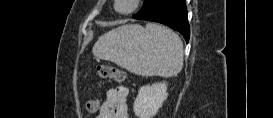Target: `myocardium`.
Segmentation results:
<instances>
[{"label": "myocardium", "instance_id": "myocardium-1", "mask_svg": "<svg viewBox=\"0 0 273 118\" xmlns=\"http://www.w3.org/2000/svg\"><path fill=\"white\" fill-rule=\"evenodd\" d=\"M126 2L128 6L126 8H120V4ZM140 0H116L114 2V8L117 12L122 14H129L134 12L139 6Z\"/></svg>", "mask_w": 273, "mask_h": 118}]
</instances>
